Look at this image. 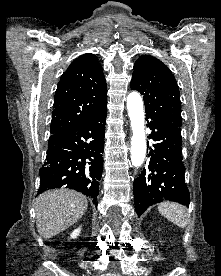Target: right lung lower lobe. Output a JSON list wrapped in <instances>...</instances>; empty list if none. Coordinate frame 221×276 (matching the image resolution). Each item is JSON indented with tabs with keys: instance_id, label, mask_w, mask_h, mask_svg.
I'll return each mask as SVG.
<instances>
[{
	"instance_id": "1",
	"label": "right lung lower lobe",
	"mask_w": 221,
	"mask_h": 276,
	"mask_svg": "<svg viewBox=\"0 0 221 276\" xmlns=\"http://www.w3.org/2000/svg\"><path fill=\"white\" fill-rule=\"evenodd\" d=\"M106 116L107 107L48 146L46 161L39 170L38 194L65 186L92 198L97 205Z\"/></svg>"
}]
</instances>
